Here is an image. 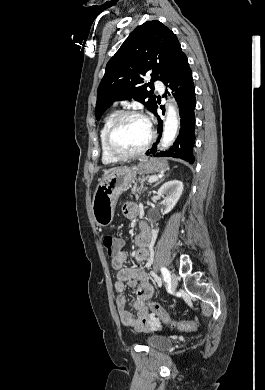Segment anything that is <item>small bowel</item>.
Returning a JSON list of instances; mask_svg holds the SVG:
<instances>
[{"label":"small bowel","instance_id":"obj_1","mask_svg":"<svg viewBox=\"0 0 265 390\" xmlns=\"http://www.w3.org/2000/svg\"><path fill=\"white\" fill-rule=\"evenodd\" d=\"M124 215L135 219L140 214L139 207L134 203H126L123 207ZM141 231L136 237L138 249L135 260L138 263H148L150 260V230L145 223L140 225ZM124 240L116 238L117 253L113 256L111 265L116 271L115 290L119 293L116 298V309L121 322L130 328L149 331L161 327L160 321L150 312L147 301L153 296L154 288L149 282L147 272L138 267H126L127 253L123 250ZM136 288V297L133 301L135 313H131L126 306V298L122 294L126 287Z\"/></svg>","mask_w":265,"mask_h":390}]
</instances>
